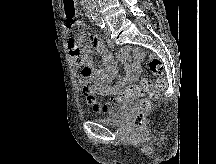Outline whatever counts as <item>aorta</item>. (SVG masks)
<instances>
[{"label":"aorta","instance_id":"762f6f07","mask_svg":"<svg viewBox=\"0 0 216 164\" xmlns=\"http://www.w3.org/2000/svg\"><path fill=\"white\" fill-rule=\"evenodd\" d=\"M88 2V9L92 16L96 14V0H87Z\"/></svg>","mask_w":216,"mask_h":164}]
</instances>
